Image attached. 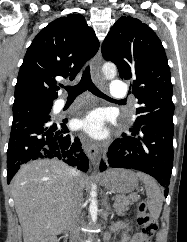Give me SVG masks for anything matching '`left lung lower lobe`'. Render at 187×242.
Masks as SVG:
<instances>
[{
	"instance_id": "obj_1",
	"label": "left lung lower lobe",
	"mask_w": 187,
	"mask_h": 242,
	"mask_svg": "<svg viewBox=\"0 0 187 242\" xmlns=\"http://www.w3.org/2000/svg\"><path fill=\"white\" fill-rule=\"evenodd\" d=\"M129 134L115 140L104 154L100 171L108 166L135 169L154 177L162 186L170 183L173 167L174 128L146 124L130 128ZM167 197L168 189L164 191Z\"/></svg>"
}]
</instances>
